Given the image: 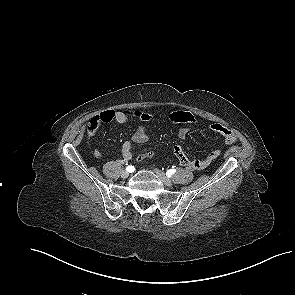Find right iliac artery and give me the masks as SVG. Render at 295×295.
<instances>
[{"label":"right iliac artery","instance_id":"obj_1","mask_svg":"<svg viewBox=\"0 0 295 295\" xmlns=\"http://www.w3.org/2000/svg\"><path fill=\"white\" fill-rule=\"evenodd\" d=\"M133 170H134V167L132 165L126 167V171L129 173L133 172Z\"/></svg>","mask_w":295,"mask_h":295}]
</instances>
